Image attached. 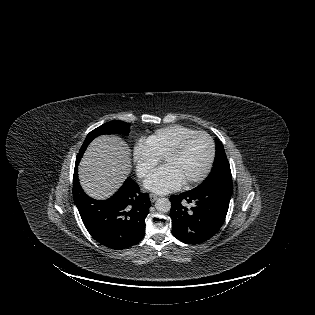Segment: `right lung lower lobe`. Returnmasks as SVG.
<instances>
[{
	"label": "right lung lower lobe",
	"mask_w": 315,
	"mask_h": 315,
	"mask_svg": "<svg viewBox=\"0 0 315 315\" xmlns=\"http://www.w3.org/2000/svg\"><path fill=\"white\" fill-rule=\"evenodd\" d=\"M76 163L73 198L90 235L102 245L120 250L137 244L145 235V218L151 202L137 184L127 178L121 188L107 200L90 198L82 190Z\"/></svg>",
	"instance_id": "obj_1"
}]
</instances>
